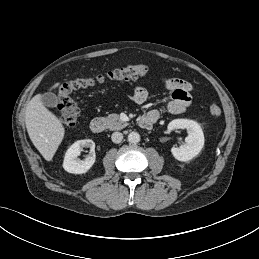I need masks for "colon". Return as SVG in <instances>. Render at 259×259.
I'll use <instances>...</instances> for the list:
<instances>
[{"label": "colon", "instance_id": "colon-1", "mask_svg": "<svg viewBox=\"0 0 259 259\" xmlns=\"http://www.w3.org/2000/svg\"><path fill=\"white\" fill-rule=\"evenodd\" d=\"M148 68L144 65H130L115 69L106 74L95 77H79L68 80L58 87V108L61 111L60 121L66 128H74L80 116V109L72 94L80 89H84L105 81H128L145 76ZM212 116L218 117L221 114L219 106L213 104L209 107Z\"/></svg>", "mask_w": 259, "mask_h": 259}]
</instances>
